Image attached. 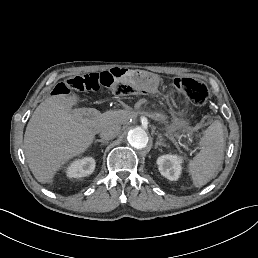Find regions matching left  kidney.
<instances>
[{
  "label": "left kidney",
  "mask_w": 258,
  "mask_h": 258,
  "mask_svg": "<svg viewBox=\"0 0 258 258\" xmlns=\"http://www.w3.org/2000/svg\"><path fill=\"white\" fill-rule=\"evenodd\" d=\"M182 163L183 157L178 155L166 154L157 159V165L161 175L171 181L178 180L182 171Z\"/></svg>",
  "instance_id": "left-kidney-1"
}]
</instances>
